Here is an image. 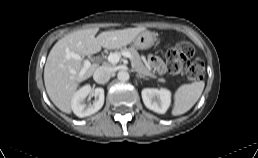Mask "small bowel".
<instances>
[{"mask_svg":"<svg viewBox=\"0 0 258 158\" xmlns=\"http://www.w3.org/2000/svg\"><path fill=\"white\" fill-rule=\"evenodd\" d=\"M148 62L158 73L160 74L166 73L167 71L166 66L160 57L151 55L148 57Z\"/></svg>","mask_w":258,"mask_h":158,"instance_id":"c3829d8e","label":"small bowel"}]
</instances>
